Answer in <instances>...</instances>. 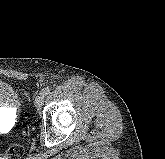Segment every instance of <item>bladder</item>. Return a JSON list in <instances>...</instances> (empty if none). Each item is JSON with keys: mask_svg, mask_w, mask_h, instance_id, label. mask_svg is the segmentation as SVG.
<instances>
[{"mask_svg": "<svg viewBox=\"0 0 165 159\" xmlns=\"http://www.w3.org/2000/svg\"><path fill=\"white\" fill-rule=\"evenodd\" d=\"M18 101L15 89L10 84L0 81V106L16 104Z\"/></svg>", "mask_w": 165, "mask_h": 159, "instance_id": "obj_1", "label": "bladder"}]
</instances>
